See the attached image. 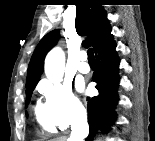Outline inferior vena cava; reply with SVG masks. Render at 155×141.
I'll use <instances>...</instances> for the list:
<instances>
[{
  "instance_id": "602c4592",
  "label": "inferior vena cava",
  "mask_w": 155,
  "mask_h": 141,
  "mask_svg": "<svg viewBox=\"0 0 155 141\" xmlns=\"http://www.w3.org/2000/svg\"><path fill=\"white\" fill-rule=\"evenodd\" d=\"M86 123V114H82L76 123L71 126L72 132L68 141H83L87 135V130L83 127Z\"/></svg>"
}]
</instances>
